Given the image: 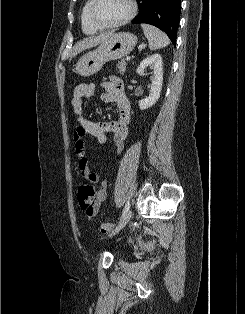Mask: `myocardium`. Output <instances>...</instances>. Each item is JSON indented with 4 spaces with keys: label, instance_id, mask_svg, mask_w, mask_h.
Masks as SVG:
<instances>
[{
    "label": "myocardium",
    "instance_id": "f54148a6",
    "mask_svg": "<svg viewBox=\"0 0 245 314\" xmlns=\"http://www.w3.org/2000/svg\"><path fill=\"white\" fill-rule=\"evenodd\" d=\"M97 1L98 0H92V2H91L90 18L93 21V23L101 29H111V28L120 27V26L128 23L129 21H131L137 13V4H136L135 0H128L130 9H129V12L126 16H124L122 19H120L116 22H113V23H103L96 16Z\"/></svg>",
    "mask_w": 245,
    "mask_h": 314
}]
</instances>
